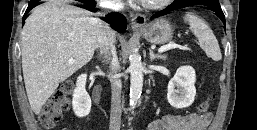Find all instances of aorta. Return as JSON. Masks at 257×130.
<instances>
[{
  "mask_svg": "<svg viewBox=\"0 0 257 130\" xmlns=\"http://www.w3.org/2000/svg\"><path fill=\"white\" fill-rule=\"evenodd\" d=\"M130 72V105L135 107L143 87V65L141 56L138 53H132L129 56Z\"/></svg>",
  "mask_w": 257,
  "mask_h": 130,
  "instance_id": "762f6f07",
  "label": "aorta"
}]
</instances>
